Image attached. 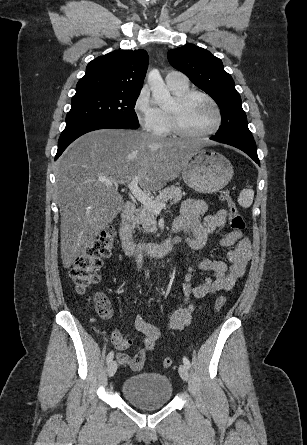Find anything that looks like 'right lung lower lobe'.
<instances>
[{"mask_svg": "<svg viewBox=\"0 0 307 445\" xmlns=\"http://www.w3.org/2000/svg\"><path fill=\"white\" fill-rule=\"evenodd\" d=\"M105 128H130L126 125L113 122V121H104V120H90V121H81L73 124L66 125L64 131L62 132L59 142H58V150L55 156V160L63 153V151L67 148V146L72 143L75 139L80 137L81 135L94 131L97 129H105Z\"/></svg>", "mask_w": 307, "mask_h": 445, "instance_id": "1", "label": "right lung lower lobe"}]
</instances>
